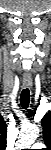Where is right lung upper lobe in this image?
<instances>
[{
    "mask_svg": "<svg viewBox=\"0 0 51 150\" xmlns=\"http://www.w3.org/2000/svg\"><path fill=\"white\" fill-rule=\"evenodd\" d=\"M6 137H7V125L3 117H0V150H5L6 148Z\"/></svg>",
    "mask_w": 51,
    "mask_h": 150,
    "instance_id": "obj_1",
    "label": "right lung upper lobe"
}]
</instances>
